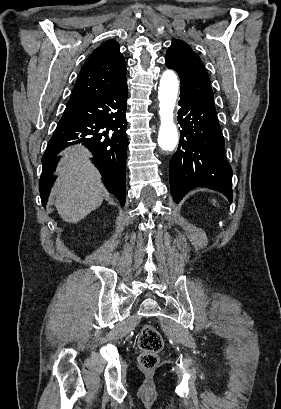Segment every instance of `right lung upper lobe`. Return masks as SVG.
<instances>
[{
  "mask_svg": "<svg viewBox=\"0 0 281 409\" xmlns=\"http://www.w3.org/2000/svg\"><path fill=\"white\" fill-rule=\"evenodd\" d=\"M118 42L101 44L80 70L70 101L103 95L126 81V63Z\"/></svg>",
  "mask_w": 281,
  "mask_h": 409,
  "instance_id": "1",
  "label": "right lung upper lobe"
}]
</instances>
